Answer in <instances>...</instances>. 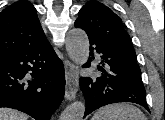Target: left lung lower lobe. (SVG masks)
I'll list each match as a JSON object with an SVG mask.
<instances>
[{
  "label": "left lung lower lobe",
  "mask_w": 165,
  "mask_h": 120,
  "mask_svg": "<svg viewBox=\"0 0 165 120\" xmlns=\"http://www.w3.org/2000/svg\"><path fill=\"white\" fill-rule=\"evenodd\" d=\"M75 27L80 28L78 25ZM88 37L90 55L94 59L93 51L96 50L102 60L96 75L80 78V88L86 101L84 117L104 105L117 102H134L149 111L140 70L124 61L110 47ZM90 62L91 58L85 66L89 67Z\"/></svg>",
  "instance_id": "left-lung-lower-lobe-1"
}]
</instances>
